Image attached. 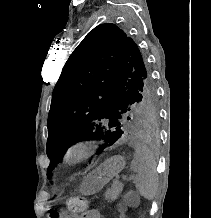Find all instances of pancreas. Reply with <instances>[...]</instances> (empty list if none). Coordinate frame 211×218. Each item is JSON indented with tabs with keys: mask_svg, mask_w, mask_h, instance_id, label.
Listing matches in <instances>:
<instances>
[{
	"mask_svg": "<svg viewBox=\"0 0 211 218\" xmlns=\"http://www.w3.org/2000/svg\"><path fill=\"white\" fill-rule=\"evenodd\" d=\"M123 188H124V184H122V182H118V180H114L111 188H108L107 192H105L106 200H111V202H114V200H117Z\"/></svg>",
	"mask_w": 211,
	"mask_h": 218,
	"instance_id": "1",
	"label": "pancreas"
}]
</instances>
